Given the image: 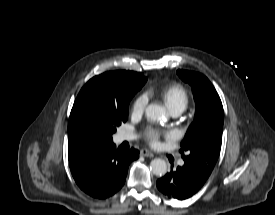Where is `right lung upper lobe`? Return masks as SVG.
<instances>
[{
    "instance_id": "right-lung-upper-lobe-1",
    "label": "right lung upper lobe",
    "mask_w": 275,
    "mask_h": 215,
    "mask_svg": "<svg viewBox=\"0 0 275 215\" xmlns=\"http://www.w3.org/2000/svg\"><path fill=\"white\" fill-rule=\"evenodd\" d=\"M146 80L147 78L142 73L132 71L106 72L90 79L78 95L87 90H95L100 96L117 102L129 87L141 84L143 86Z\"/></svg>"
}]
</instances>
